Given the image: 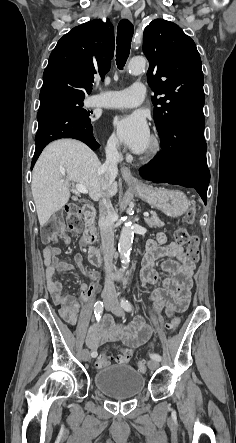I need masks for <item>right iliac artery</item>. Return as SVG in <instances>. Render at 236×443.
I'll return each mask as SVG.
<instances>
[{"mask_svg": "<svg viewBox=\"0 0 236 443\" xmlns=\"http://www.w3.org/2000/svg\"><path fill=\"white\" fill-rule=\"evenodd\" d=\"M103 307H104V305H103V302H101V301H97L95 303V305H94V313H95V316H96L97 320H99L101 315H102ZM91 356L92 357H96L97 356V352H92Z\"/></svg>", "mask_w": 236, "mask_h": 443, "instance_id": "82829eb1", "label": "right iliac artery"}]
</instances>
